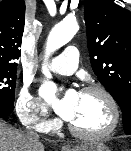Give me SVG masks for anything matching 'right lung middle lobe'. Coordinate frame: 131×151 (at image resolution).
<instances>
[{"instance_id": "right-lung-middle-lobe-1", "label": "right lung middle lobe", "mask_w": 131, "mask_h": 151, "mask_svg": "<svg viewBox=\"0 0 131 151\" xmlns=\"http://www.w3.org/2000/svg\"><path fill=\"white\" fill-rule=\"evenodd\" d=\"M17 67H0V105L14 107Z\"/></svg>"}]
</instances>
